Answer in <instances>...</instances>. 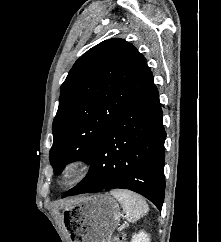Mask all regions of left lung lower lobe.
<instances>
[{
	"label": "left lung lower lobe",
	"mask_w": 221,
	"mask_h": 242,
	"mask_svg": "<svg viewBox=\"0 0 221 242\" xmlns=\"http://www.w3.org/2000/svg\"><path fill=\"white\" fill-rule=\"evenodd\" d=\"M165 138L159 94L153 83L103 133L88 174L62 198L123 188L143 195L161 210Z\"/></svg>",
	"instance_id": "0a47b994"
}]
</instances>
